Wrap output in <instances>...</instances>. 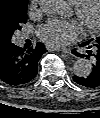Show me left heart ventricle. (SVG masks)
<instances>
[{
    "label": "left heart ventricle",
    "instance_id": "obj_1",
    "mask_svg": "<svg viewBox=\"0 0 100 118\" xmlns=\"http://www.w3.org/2000/svg\"><path fill=\"white\" fill-rule=\"evenodd\" d=\"M96 15H97L96 5L95 3H90L85 11L84 21L92 22L95 20Z\"/></svg>",
    "mask_w": 100,
    "mask_h": 118
}]
</instances>
